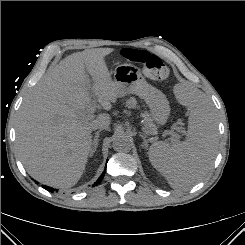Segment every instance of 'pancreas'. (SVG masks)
Instances as JSON below:
<instances>
[{
    "mask_svg": "<svg viewBox=\"0 0 245 245\" xmlns=\"http://www.w3.org/2000/svg\"><path fill=\"white\" fill-rule=\"evenodd\" d=\"M126 105L129 108H134V107H136V100L132 97L129 100H127ZM144 116H145V127H144V130L147 133H154L155 130H156V127H155V125L153 123V120L149 117L147 112L144 113Z\"/></svg>",
    "mask_w": 245,
    "mask_h": 245,
    "instance_id": "obj_1",
    "label": "pancreas"
}]
</instances>
